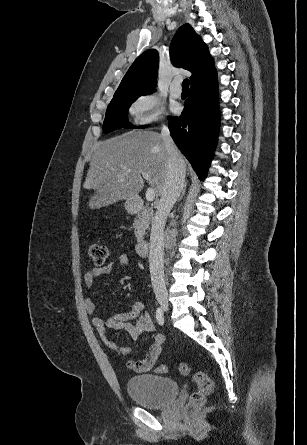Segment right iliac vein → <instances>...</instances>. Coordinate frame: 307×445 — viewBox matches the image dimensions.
<instances>
[{
	"label": "right iliac vein",
	"instance_id": "right-iliac-vein-1",
	"mask_svg": "<svg viewBox=\"0 0 307 445\" xmlns=\"http://www.w3.org/2000/svg\"><path fill=\"white\" fill-rule=\"evenodd\" d=\"M159 304L164 310H168V301L166 299H159Z\"/></svg>",
	"mask_w": 307,
	"mask_h": 445
}]
</instances>
